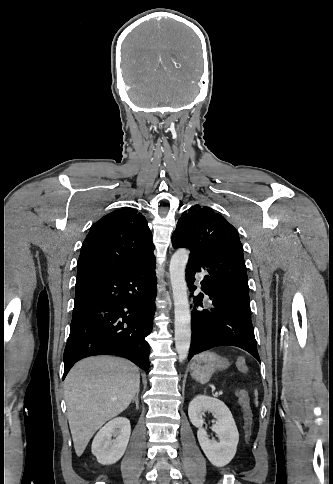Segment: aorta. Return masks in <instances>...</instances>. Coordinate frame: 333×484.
<instances>
[{
    "label": "aorta",
    "instance_id": "1",
    "mask_svg": "<svg viewBox=\"0 0 333 484\" xmlns=\"http://www.w3.org/2000/svg\"><path fill=\"white\" fill-rule=\"evenodd\" d=\"M188 258L189 251L180 248L173 254L169 266L175 313V347L179 362L187 358L191 343V316L185 280Z\"/></svg>",
    "mask_w": 333,
    "mask_h": 484
}]
</instances>
